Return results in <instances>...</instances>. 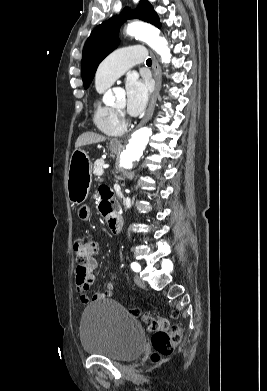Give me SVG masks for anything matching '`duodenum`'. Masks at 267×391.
I'll use <instances>...</instances> for the list:
<instances>
[{
	"instance_id": "1",
	"label": "duodenum",
	"mask_w": 267,
	"mask_h": 391,
	"mask_svg": "<svg viewBox=\"0 0 267 391\" xmlns=\"http://www.w3.org/2000/svg\"><path fill=\"white\" fill-rule=\"evenodd\" d=\"M100 209L106 216L110 231L114 234L118 233L122 227V219L120 215L116 211L111 210L108 203L106 202H102Z\"/></svg>"
}]
</instances>
